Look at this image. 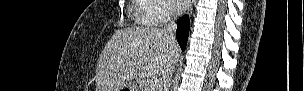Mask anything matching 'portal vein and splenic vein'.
<instances>
[{
  "instance_id": "18ae733b",
  "label": "portal vein and splenic vein",
  "mask_w": 304,
  "mask_h": 91,
  "mask_svg": "<svg viewBox=\"0 0 304 91\" xmlns=\"http://www.w3.org/2000/svg\"><path fill=\"white\" fill-rule=\"evenodd\" d=\"M158 79L157 78H151L149 80H147L146 82V86L147 88H155L158 85Z\"/></svg>"
}]
</instances>
